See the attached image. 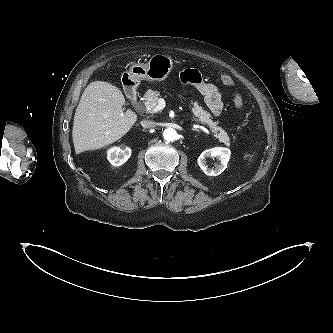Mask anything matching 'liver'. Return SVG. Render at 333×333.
<instances>
[{"label": "liver", "instance_id": "6515ba94", "mask_svg": "<svg viewBox=\"0 0 333 333\" xmlns=\"http://www.w3.org/2000/svg\"><path fill=\"white\" fill-rule=\"evenodd\" d=\"M122 92L110 83L91 82L76 108L72 138L76 153L99 149L123 137L134 125L137 115L123 112Z\"/></svg>", "mask_w": 333, "mask_h": 333}]
</instances>
